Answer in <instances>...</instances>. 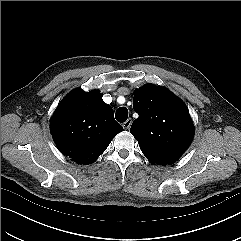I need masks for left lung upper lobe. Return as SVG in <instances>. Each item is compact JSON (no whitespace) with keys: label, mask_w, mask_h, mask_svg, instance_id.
Returning <instances> with one entry per match:
<instances>
[{"label":"left lung upper lobe","mask_w":241,"mask_h":241,"mask_svg":"<svg viewBox=\"0 0 241 241\" xmlns=\"http://www.w3.org/2000/svg\"><path fill=\"white\" fill-rule=\"evenodd\" d=\"M139 114L130 132L151 163L171 165L189 147L194 127L185 104L166 88L146 84L135 90Z\"/></svg>","instance_id":"obj_1"}]
</instances>
